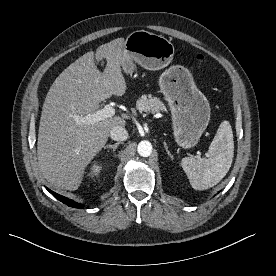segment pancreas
Here are the masks:
<instances>
[{
  "mask_svg": "<svg viewBox=\"0 0 276 276\" xmlns=\"http://www.w3.org/2000/svg\"><path fill=\"white\" fill-rule=\"evenodd\" d=\"M137 110L139 112L155 113V112H167L164 103L157 97H151L143 95L137 100Z\"/></svg>",
  "mask_w": 276,
  "mask_h": 276,
  "instance_id": "obj_1",
  "label": "pancreas"
}]
</instances>
